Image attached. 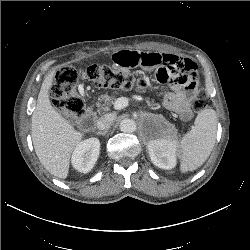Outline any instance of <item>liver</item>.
Segmentation results:
<instances>
[{
	"label": "liver",
	"mask_w": 250,
	"mask_h": 250,
	"mask_svg": "<svg viewBox=\"0 0 250 250\" xmlns=\"http://www.w3.org/2000/svg\"><path fill=\"white\" fill-rule=\"evenodd\" d=\"M55 70L44 79L36 108L32 114V141L37 157L45 169L55 177L68 176L70 157L84 134L77 131L51 105L49 90Z\"/></svg>",
	"instance_id": "obj_1"
}]
</instances>
